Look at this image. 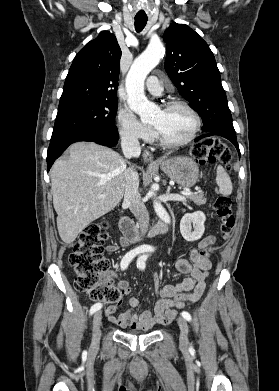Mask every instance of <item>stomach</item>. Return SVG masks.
Masks as SVG:
<instances>
[{
    "label": "stomach",
    "mask_w": 279,
    "mask_h": 391,
    "mask_svg": "<svg viewBox=\"0 0 279 391\" xmlns=\"http://www.w3.org/2000/svg\"><path fill=\"white\" fill-rule=\"evenodd\" d=\"M161 170L172 180L183 187L195 185L199 178V168L194 160L185 156L162 158L159 161Z\"/></svg>",
    "instance_id": "stomach-1"
}]
</instances>
